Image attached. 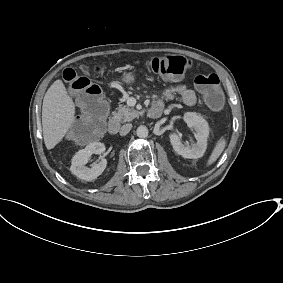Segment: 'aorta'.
<instances>
[{
	"label": "aorta",
	"instance_id": "762f6f07",
	"mask_svg": "<svg viewBox=\"0 0 283 283\" xmlns=\"http://www.w3.org/2000/svg\"><path fill=\"white\" fill-rule=\"evenodd\" d=\"M136 134L139 138H146L148 136V128L141 125L137 128Z\"/></svg>",
	"mask_w": 283,
	"mask_h": 283
}]
</instances>
